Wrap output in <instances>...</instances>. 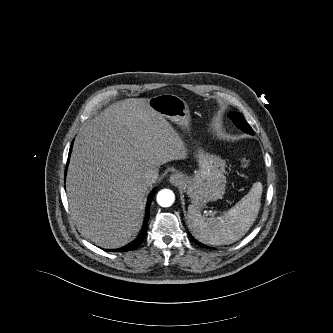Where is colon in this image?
<instances>
[{"instance_id": "obj_1", "label": "colon", "mask_w": 333, "mask_h": 333, "mask_svg": "<svg viewBox=\"0 0 333 333\" xmlns=\"http://www.w3.org/2000/svg\"><path fill=\"white\" fill-rule=\"evenodd\" d=\"M250 164V161L247 157H243L240 161V165L242 168H247Z\"/></svg>"}]
</instances>
